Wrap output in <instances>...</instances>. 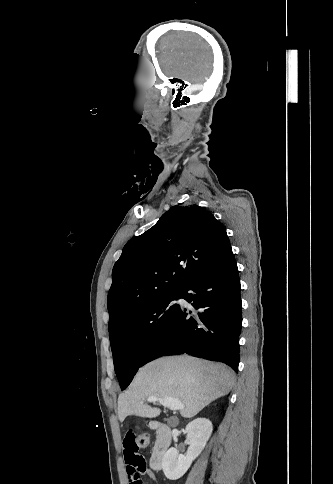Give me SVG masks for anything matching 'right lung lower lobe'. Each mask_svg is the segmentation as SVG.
<instances>
[{
  "instance_id": "98d812e1",
  "label": "right lung lower lobe",
  "mask_w": 333,
  "mask_h": 484,
  "mask_svg": "<svg viewBox=\"0 0 333 484\" xmlns=\"http://www.w3.org/2000/svg\"><path fill=\"white\" fill-rule=\"evenodd\" d=\"M195 310L178 306L148 348L140 367L165 355L191 354L238 372L242 325L240 281L230 245L180 291Z\"/></svg>"
}]
</instances>
